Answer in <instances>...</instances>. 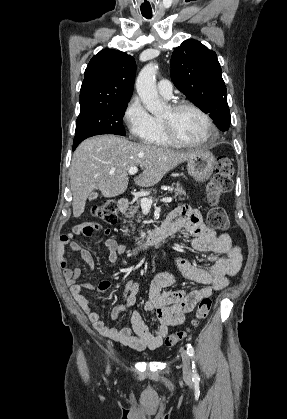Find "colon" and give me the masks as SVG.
Returning a JSON list of instances; mask_svg holds the SVG:
<instances>
[{"mask_svg":"<svg viewBox=\"0 0 287 419\" xmlns=\"http://www.w3.org/2000/svg\"><path fill=\"white\" fill-rule=\"evenodd\" d=\"M233 172V163L228 156L217 158L215 173L206 188L207 199L211 206L208 212V223L212 229L225 230L229 226V220L225 210L217 206V203L223 194L232 189ZM93 213L106 224L112 225L117 221V203L113 199H104L94 207ZM211 307L212 301L209 298H204L199 302L193 321L195 326L208 316ZM185 337L186 332L178 331L167 336L164 344L166 347H172L184 340Z\"/></svg>","mask_w":287,"mask_h":419,"instance_id":"colon-1","label":"colon"}]
</instances>
